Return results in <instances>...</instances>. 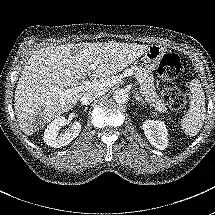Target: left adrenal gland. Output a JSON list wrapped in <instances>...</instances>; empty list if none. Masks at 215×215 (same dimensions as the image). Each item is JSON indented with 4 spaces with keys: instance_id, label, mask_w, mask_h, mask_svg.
Segmentation results:
<instances>
[{
    "instance_id": "a2214340",
    "label": "left adrenal gland",
    "mask_w": 215,
    "mask_h": 215,
    "mask_svg": "<svg viewBox=\"0 0 215 215\" xmlns=\"http://www.w3.org/2000/svg\"><path fill=\"white\" fill-rule=\"evenodd\" d=\"M134 97H135V99H136V102H142V104L146 106V102L143 101L141 95L136 94V95H134Z\"/></svg>"
}]
</instances>
